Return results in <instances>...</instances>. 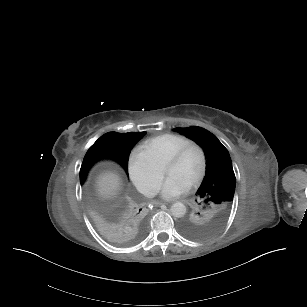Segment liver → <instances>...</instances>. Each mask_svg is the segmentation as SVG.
<instances>
[{
	"mask_svg": "<svg viewBox=\"0 0 307 307\" xmlns=\"http://www.w3.org/2000/svg\"><path fill=\"white\" fill-rule=\"evenodd\" d=\"M119 186L118 176L113 173H106L99 181V191L103 195H112Z\"/></svg>",
	"mask_w": 307,
	"mask_h": 307,
	"instance_id": "obj_1",
	"label": "liver"
}]
</instances>
